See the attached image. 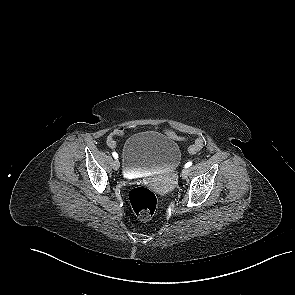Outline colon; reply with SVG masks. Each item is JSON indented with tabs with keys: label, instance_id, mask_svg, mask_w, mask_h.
Here are the masks:
<instances>
[{
	"label": "colon",
	"instance_id": "obj_1",
	"mask_svg": "<svg viewBox=\"0 0 295 295\" xmlns=\"http://www.w3.org/2000/svg\"><path fill=\"white\" fill-rule=\"evenodd\" d=\"M128 200L132 211L141 220H149L156 213L157 197L145 187L132 188L128 193Z\"/></svg>",
	"mask_w": 295,
	"mask_h": 295
}]
</instances>
